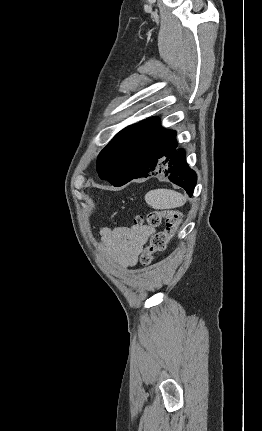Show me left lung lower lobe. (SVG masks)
I'll list each match as a JSON object with an SVG mask.
<instances>
[{
    "label": "left lung lower lobe",
    "mask_w": 262,
    "mask_h": 431,
    "mask_svg": "<svg viewBox=\"0 0 262 431\" xmlns=\"http://www.w3.org/2000/svg\"><path fill=\"white\" fill-rule=\"evenodd\" d=\"M175 138L176 132L169 131L157 135L151 144L138 150L130 165L131 175L128 182L163 173L191 196L197 183V175L186 163L184 149L177 148Z\"/></svg>",
    "instance_id": "0a47b994"
}]
</instances>
